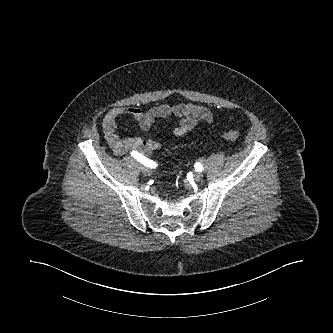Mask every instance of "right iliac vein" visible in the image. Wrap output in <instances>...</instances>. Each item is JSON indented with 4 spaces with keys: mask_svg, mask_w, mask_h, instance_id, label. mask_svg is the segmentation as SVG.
Here are the masks:
<instances>
[{
    "mask_svg": "<svg viewBox=\"0 0 333 333\" xmlns=\"http://www.w3.org/2000/svg\"><path fill=\"white\" fill-rule=\"evenodd\" d=\"M141 171H142V173H143L144 175H147V176L151 175V170H150V168H148V167H146V166H142V167H141Z\"/></svg>",
    "mask_w": 333,
    "mask_h": 333,
    "instance_id": "1",
    "label": "right iliac vein"
}]
</instances>
